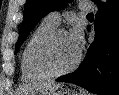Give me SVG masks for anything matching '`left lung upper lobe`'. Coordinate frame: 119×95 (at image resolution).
<instances>
[{
  "label": "left lung upper lobe",
  "mask_w": 119,
  "mask_h": 95,
  "mask_svg": "<svg viewBox=\"0 0 119 95\" xmlns=\"http://www.w3.org/2000/svg\"><path fill=\"white\" fill-rule=\"evenodd\" d=\"M70 0H28L24 9V19L21 24L20 34L15 46L18 52L21 44L27 38L36 24L48 13L61 10L66 7ZM97 1V0H93ZM100 3V1H98Z\"/></svg>",
  "instance_id": "obj_1"
}]
</instances>
